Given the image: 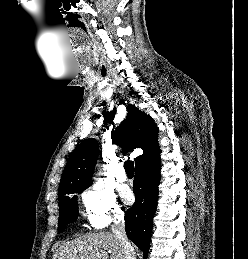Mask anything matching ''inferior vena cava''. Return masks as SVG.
Masks as SVG:
<instances>
[{
	"label": "inferior vena cava",
	"instance_id": "602c4592",
	"mask_svg": "<svg viewBox=\"0 0 248 259\" xmlns=\"http://www.w3.org/2000/svg\"><path fill=\"white\" fill-rule=\"evenodd\" d=\"M112 232L123 246L125 259H136L134 248L129 242L126 232H125V223L124 215L116 214L114 217V222L112 225Z\"/></svg>",
	"mask_w": 248,
	"mask_h": 259
}]
</instances>
